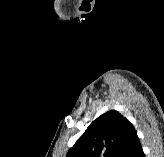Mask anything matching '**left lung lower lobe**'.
<instances>
[{"mask_svg":"<svg viewBox=\"0 0 164 157\" xmlns=\"http://www.w3.org/2000/svg\"><path fill=\"white\" fill-rule=\"evenodd\" d=\"M120 157H144L137 133L130 139L127 147Z\"/></svg>","mask_w":164,"mask_h":157,"instance_id":"1","label":"left lung lower lobe"}]
</instances>
